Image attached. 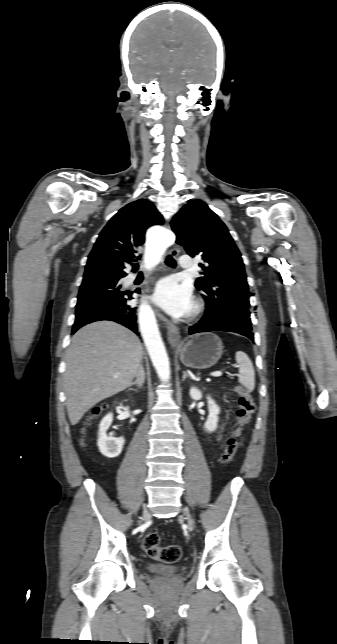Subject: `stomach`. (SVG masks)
<instances>
[{
    "label": "stomach",
    "instance_id": "stomach-1",
    "mask_svg": "<svg viewBox=\"0 0 337 644\" xmlns=\"http://www.w3.org/2000/svg\"><path fill=\"white\" fill-rule=\"evenodd\" d=\"M181 362L195 369H208L214 366L223 354L221 339L213 333L192 336L186 343L177 346Z\"/></svg>",
    "mask_w": 337,
    "mask_h": 644
}]
</instances>
